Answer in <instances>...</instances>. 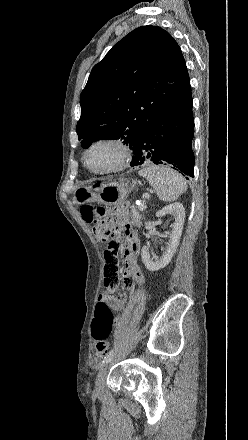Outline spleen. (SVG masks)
Segmentation results:
<instances>
[{"label": "spleen", "mask_w": 248, "mask_h": 440, "mask_svg": "<svg viewBox=\"0 0 248 440\" xmlns=\"http://www.w3.org/2000/svg\"><path fill=\"white\" fill-rule=\"evenodd\" d=\"M139 175L147 179L162 201H175L187 190L186 181L170 167L150 165L140 170Z\"/></svg>", "instance_id": "1"}]
</instances>
